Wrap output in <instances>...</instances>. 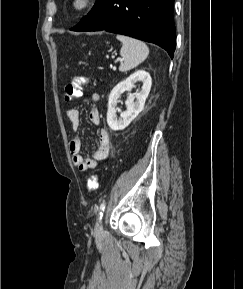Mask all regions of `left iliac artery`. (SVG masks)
<instances>
[{"instance_id": "1", "label": "left iliac artery", "mask_w": 243, "mask_h": 289, "mask_svg": "<svg viewBox=\"0 0 243 289\" xmlns=\"http://www.w3.org/2000/svg\"><path fill=\"white\" fill-rule=\"evenodd\" d=\"M105 202H102L101 205H100V212H99V218L101 219L102 215H103V211L105 210Z\"/></svg>"}]
</instances>
